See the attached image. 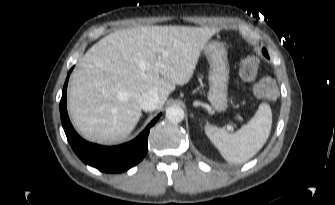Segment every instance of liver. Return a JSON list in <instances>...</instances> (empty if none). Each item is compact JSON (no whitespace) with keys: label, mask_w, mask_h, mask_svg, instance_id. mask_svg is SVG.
Instances as JSON below:
<instances>
[{"label":"liver","mask_w":335,"mask_h":205,"mask_svg":"<svg viewBox=\"0 0 335 205\" xmlns=\"http://www.w3.org/2000/svg\"><path fill=\"white\" fill-rule=\"evenodd\" d=\"M208 27L139 26L118 30L94 44L79 60L68 90V109L81 135L115 143L137 125L139 98L159 95L158 108L176 85L189 82L208 40Z\"/></svg>","instance_id":"liver-1"}]
</instances>
